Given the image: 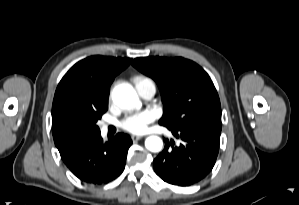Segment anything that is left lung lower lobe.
Listing matches in <instances>:
<instances>
[{"label": "left lung lower lobe", "instance_id": "obj_1", "mask_svg": "<svg viewBox=\"0 0 299 205\" xmlns=\"http://www.w3.org/2000/svg\"><path fill=\"white\" fill-rule=\"evenodd\" d=\"M168 129L182 143L173 147L172 140L170 148L166 140L164 150L154 160L155 173L173 185L189 186L197 183L208 175L215 164L219 152L221 121Z\"/></svg>", "mask_w": 299, "mask_h": 205}]
</instances>
